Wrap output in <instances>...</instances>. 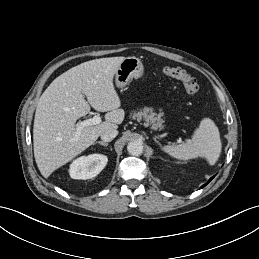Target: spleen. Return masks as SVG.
<instances>
[{
	"mask_svg": "<svg viewBox=\"0 0 259 259\" xmlns=\"http://www.w3.org/2000/svg\"><path fill=\"white\" fill-rule=\"evenodd\" d=\"M164 151L179 160L203 157L210 165L216 163L221 152V140L217 126L210 118L201 121L192 139L179 145L165 146Z\"/></svg>",
	"mask_w": 259,
	"mask_h": 259,
	"instance_id": "spleen-1",
	"label": "spleen"
}]
</instances>
